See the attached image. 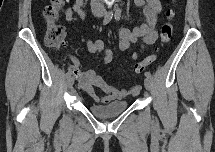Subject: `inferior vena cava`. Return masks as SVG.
I'll return each mask as SVG.
<instances>
[{"label":"inferior vena cava","instance_id":"602c4592","mask_svg":"<svg viewBox=\"0 0 215 152\" xmlns=\"http://www.w3.org/2000/svg\"><path fill=\"white\" fill-rule=\"evenodd\" d=\"M95 2H100V0H93V3H95Z\"/></svg>","mask_w":215,"mask_h":152}]
</instances>
